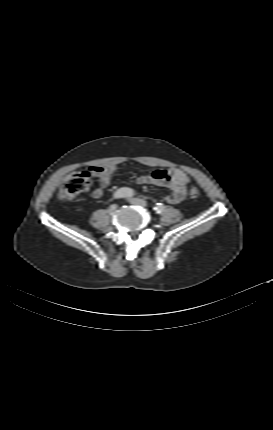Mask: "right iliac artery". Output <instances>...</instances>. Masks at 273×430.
Returning a JSON list of instances; mask_svg holds the SVG:
<instances>
[{
  "mask_svg": "<svg viewBox=\"0 0 273 430\" xmlns=\"http://www.w3.org/2000/svg\"><path fill=\"white\" fill-rule=\"evenodd\" d=\"M134 195V191L128 187H122L113 194L114 199L129 198Z\"/></svg>",
  "mask_w": 273,
  "mask_h": 430,
  "instance_id": "1",
  "label": "right iliac artery"
}]
</instances>
